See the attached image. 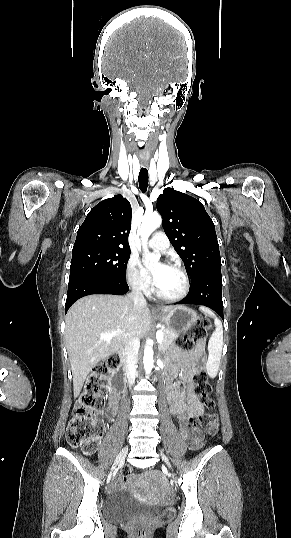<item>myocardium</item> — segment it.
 I'll return each mask as SVG.
<instances>
[{"label":"myocardium","mask_w":291,"mask_h":538,"mask_svg":"<svg viewBox=\"0 0 291 538\" xmlns=\"http://www.w3.org/2000/svg\"><path fill=\"white\" fill-rule=\"evenodd\" d=\"M168 267L176 270L182 276L183 282H184V286H183L182 291L180 293H178L177 295L169 296V295H165V294L161 293L157 289V287L155 286L153 288V292L161 300L168 301V302H177V301H180V300L184 299L188 295V293L190 291V287H191L190 278H189L187 272L185 271V269L182 266H180L179 264L172 263Z\"/></svg>","instance_id":"f54148a6"}]
</instances>
